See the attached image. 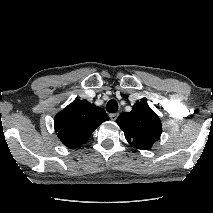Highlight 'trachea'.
Returning a JSON list of instances; mask_svg holds the SVG:
<instances>
[{
	"mask_svg": "<svg viewBox=\"0 0 213 213\" xmlns=\"http://www.w3.org/2000/svg\"><path fill=\"white\" fill-rule=\"evenodd\" d=\"M106 110L109 113H116L118 110V103L113 99L108 101V103L106 105Z\"/></svg>",
	"mask_w": 213,
	"mask_h": 213,
	"instance_id": "obj_1",
	"label": "trachea"
}]
</instances>
